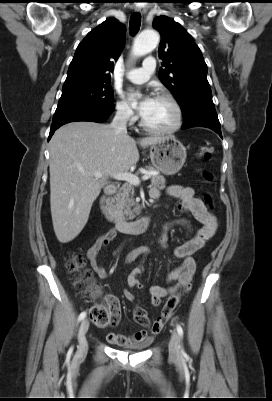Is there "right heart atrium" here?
<instances>
[{
    "label": "right heart atrium",
    "mask_w": 272,
    "mask_h": 401,
    "mask_svg": "<svg viewBox=\"0 0 272 401\" xmlns=\"http://www.w3.org/2000/svg\"><path fill=\"white\" fill-rule=\"evenodd\" d=\"M114 108L116 118L119 121L126 124H130L135 121L134 112L122 99H117L115 101Z\"/></svg>",
    "instance_id": "obj_1"
}]
</instances>
